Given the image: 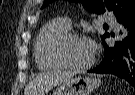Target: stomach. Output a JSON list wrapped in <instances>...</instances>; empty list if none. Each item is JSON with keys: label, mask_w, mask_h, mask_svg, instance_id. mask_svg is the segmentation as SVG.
Returning <instances> with one entry per match:
<instances>
[{"label": "stomach", "mask_w": 135, "mask_h": 95, "mask_svg": "<svg viewBox=\"0 0 135 95\" xmlns=\"http://www.w3.org/2000/svg\"><path fill=\"white\" fill-rule=\"evenodd\" d=\"M101 84L93 77H72L62 82L53 92V95H90Z\"/></svg>", "instance_id": "0dacf381"}]
</instances>
